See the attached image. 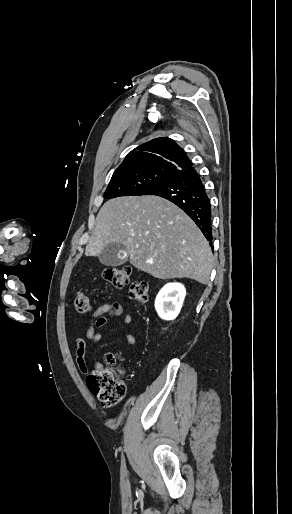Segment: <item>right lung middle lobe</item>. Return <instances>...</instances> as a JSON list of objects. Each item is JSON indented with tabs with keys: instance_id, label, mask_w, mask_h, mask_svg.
I'll list each match as a JSON object with an SVG mask.
<instances>
[{
	"instance_id": "obj_1",
	"label": "right lung middle lobe",
	"mask_w": 292,
	"mask_h": 514,
	"mask_svg": "<svg viewBox=\"0 0 292 514\" xmlns=\"http://www.w3.org/2000/svg\"><path fill=\"white\" fill-rule=\"evenodd\" d=\"M169 176L170 174L165 172L113 175L103 197L140 196Z\"/></svg>"
}]
</instances>
